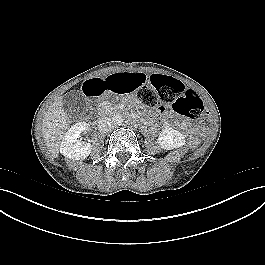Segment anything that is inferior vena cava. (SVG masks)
<instances>
[{
	"label": "inferior vena cava",
	"instance_id": "602c4592",
	"mask_svg": "<svg viewBox=\"0 0 265 265\" xmlns=\"http://www.w3.org/2000/svg\"><path fill=\"white\" fill-rule=\"evenodd\" d=\"M113 128V122L110 117H102L98 120V130L106 133Z\"/></svg>",
	"mask_w": 265,
	"mask_h": 265
}]
</instances>
